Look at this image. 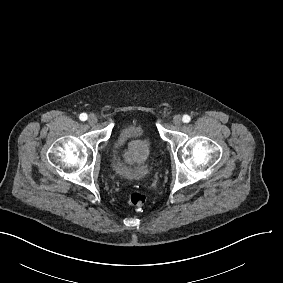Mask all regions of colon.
Returning <instances> with one entry per match:
<instances>
[{"instance_id":"5ec220e1","label":"colon","mask_w":283,"mask_h":283,"mask_svg":"<svg viewBox=\"0 0 283 283\" xmlns=\"http://www.w3.org/2000/svg\"><path fill=\"white\" fill-rule=\"evenodd\" d=\"M129 199L130 203L136 208H142L147 202L146 196L140 192L132 193Z\"/></svg>"}]
</instances>
